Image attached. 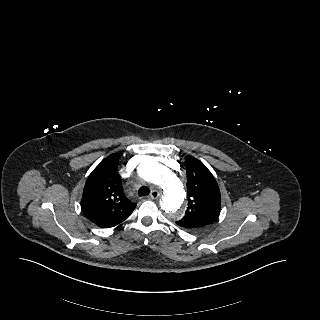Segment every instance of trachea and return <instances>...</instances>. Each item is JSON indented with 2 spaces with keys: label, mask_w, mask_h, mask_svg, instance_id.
I'll return each instance as SVG.
<instances>
[{
  "label": "trachea",
  "mask_w": 320,
  "mask_h": 320,
  "mask_svg": "<svg viewBox=\"0 0 320 320\" xmlns=\"http://www.w3.org/2000/svg\"><path fill=\"white\" fill-rule=\"evenodd\" d=\"M149 193H150V190L147 186H142L138 191V194L140 197L147 196Z\"/></svg>",
  "instance_id": "obj_1"
}]
</instances>
